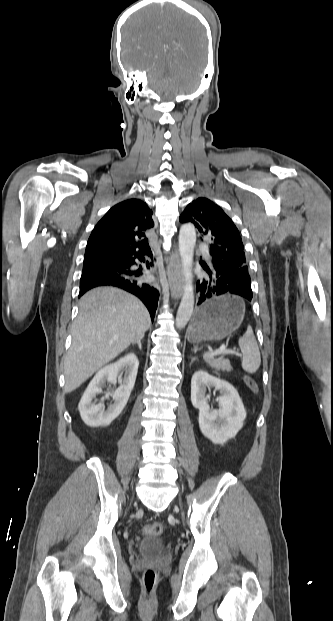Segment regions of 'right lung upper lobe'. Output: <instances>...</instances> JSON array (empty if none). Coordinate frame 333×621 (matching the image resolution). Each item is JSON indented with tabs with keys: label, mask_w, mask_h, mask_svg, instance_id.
<instances>
[{
	"label": "right lung upper lobe",
	"mask_w": 333,
	"mask_h": 621,
	"mask_svg": "<svg viewBox=\"0 0 333 621\" xmlns=\"http://www.w3.org/2000/svg\"><path fill=\"white\" fill-rule=\"evenodd\" d=\"M152 210L140 199L113 206L94 227L84 259L150 251L145 232L154 226Z\"/></svg>",
	"instance_id": "obj_1"
}]
</instances>
